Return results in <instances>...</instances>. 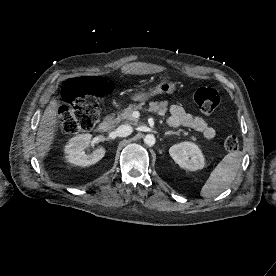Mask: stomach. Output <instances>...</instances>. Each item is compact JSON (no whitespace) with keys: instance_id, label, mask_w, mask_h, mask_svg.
Returning <instances> with one entry per match:
<instances>
[{"instance_id":"0dacf381","label":"stomach","mask_w":276,"mask_h":276,"mask_svg":"<svg viewBox=\"0 0 276 276\" xmlns=\"http://www.w3.org/2000/svg\"><path fill=\"white\" fill-rule=\"evenodd\" d=\"M176 90V83L170 80H163L147 92H140L131 97L133 101H146L152 97L162 94H172Z\"/></svg>"}]
</instances>
